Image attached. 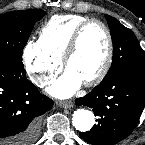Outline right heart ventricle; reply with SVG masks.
Instances as JSON below:
<instances>
[{"mask_svg":"<svg viewBox=\"0 0 145 145\" xmlns=\"http://www.w3.org/2000/svg\"><path fill=\"white\" fill-rule=\"evenodd\" d=\"M87 19L76 14L53 16L41 27L38 42L45 51L61 60L75 29Z\"/></svg>","mask_w":145,"mask_h":145,"instance_id":"obj_1","label":"right heart ventricle"}]
</instances>
